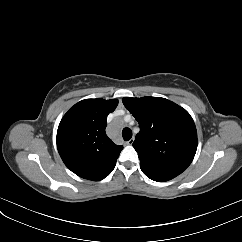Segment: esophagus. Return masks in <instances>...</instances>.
Masks as SVG:
<instances>
[{
	"label": "esophagus",
	"mask_w": 242,
	"mask_h": 242,
	"mask_svg": "<svg viewBox=\"0 0 242 242\" xmlns=\"http://www.w3.org/2000/svg\"><path fill=\"white\" fill-rule=\"evenodd\" d=\"M133 142H134V139H133V138H131L130 140L126 141V144H127V145H132V144H133Z\"/></svg>",
	"instance_id": "1"
}]
</instances>
